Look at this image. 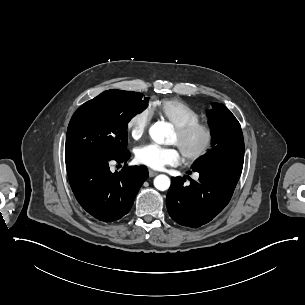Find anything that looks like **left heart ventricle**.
<instances>
[{
	"label": "left heart ventricle",
	"mask_w": 305,
	"mask_h": 305,
	"mask_svg": "<svg viewBox=\"0 0 305 305\" xmlns=\"http://www.w3.org/2000/svg\"><path fill=\"white\" fill-rule=\"evenodd\" d=\"M205 135L197 131L189 137L180 138L175 130L171 142L175 143L181 153L193 152L204 142Z\"/></svg>",
	"instance_id": "b2bd125f"
}]
</instances>
